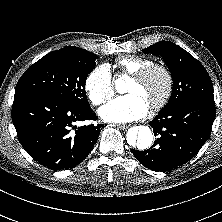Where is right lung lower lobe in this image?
<instances>
[{
  "instance_id": "right-lung-lower-lobe-1",
  "label": "right lung lower lobe",
  "mask_w": 222,
  "mask_h": 222,
  "mask_svg": "<svg viewBox=\"0 0 222 222\" xmlns=\"http://www.w3.org/2000/svg\"><path fill=\"white\" fill-rule=\"evenodd\" d=\"M96 119L90 105L38 93L14 96L12 120L19 142L35 161L54 171L75 167L91 152L104 125L75 124Z\"/></svg>"
}]
</instances>
